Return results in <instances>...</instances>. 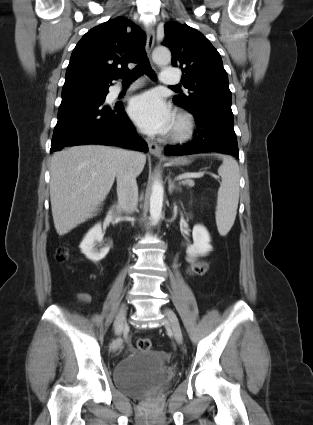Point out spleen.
Segmentation results:
<instances>
[{"label": "spleen", "instance_id": "spleen-1", "mask_svg": "<svg viewBox=\"0 0 313 425\" xmlns=\"http://www.w3.org/2000/svg\"><path fill=\"white\" fill-rule=\"evenodd\" d=\"M223 160L218 169L222 178L218 190L216 207V224L220 235L225 236L234 224L239 202V166L237 161L229 156L217 154Z\"/></svg>", "mask_w": 313, "mask_h": 425}]
</instances>
